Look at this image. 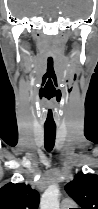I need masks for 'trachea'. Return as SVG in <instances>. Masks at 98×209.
I'll use <instances>...</instances> for the list:
<instances>
[{
	"label": "trachea",
	"mask_w": 98,
	"mask_h": 209,
	"mask_svg": "<svg viewBox=\"0 0 98 209\" xmlns=\"http://www.w3.org/2000/svg\"><path fill=\"white\" fill-rule=\"evenodd\" d=\"M56 137V127H44V144L47 151H51L54 147Z\"/></svg>",
	"instance_id": "1"
}]
</instances>
